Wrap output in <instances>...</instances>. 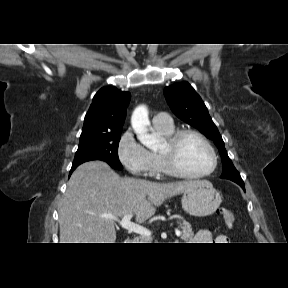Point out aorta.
<instances>
[{"mask_svg": "<svg viewBox=\"0 0 288 288\" xmlns=\"http://www.w3.org/2000/svg\"><path fill=\"white\" fill-rule=\"evenodd\" d=\"M131 124L138 140L149 149H156L158 140L148 132L150 125L148 110L145 106L137 107L131 117Z\"/></svg>", "mask_w": 288, "mask_h": 288, "instance_id": "obj_1", "label": "aorta"}]
</instances>
